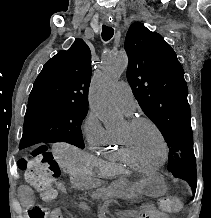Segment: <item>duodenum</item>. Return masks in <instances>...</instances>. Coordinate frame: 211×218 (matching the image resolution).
I'll list each match as a JSON object with an SVG mask.
<instances>
[{"label": "duodenum", "instance_id": "duodenum-1", "mask_svg": "<svg viewBox=\"0 0 211 218\" xmlns=\"http://www.w3.org/2000/svg\"><path fill=\"white\" fill-rule=\"evenodd\" d=\"M75 181H79V177L74 175ZM116 216L120 218H137L136 210H123L116 212Z\"/></svg>", "mask_w": 211, "mask_h": 218}]
</instances>
